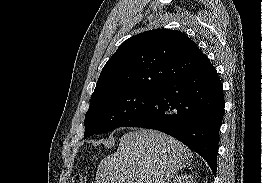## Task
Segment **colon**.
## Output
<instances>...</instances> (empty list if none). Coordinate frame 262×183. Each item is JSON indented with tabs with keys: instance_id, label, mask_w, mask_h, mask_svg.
<instances>
[{
	"instance_id": "colon-1",
	"label": "colon",
	"mask_w": 262,
	"mask_h": 183,
	"mask_svg": "<svg viewBox=\"0 0 262 183\" xmlns=\"http://www.w3.org/2000/svg\"><path fill=\"white\" fill-rule=\"evenodd\" d=\"M73 183H89V180L84 175H79L74 179Z\"/></svg>"
}]
</instances>
